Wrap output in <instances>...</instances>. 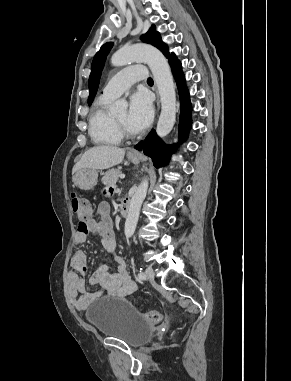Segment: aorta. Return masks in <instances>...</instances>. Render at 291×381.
Wrapping results in <instances>:
<instances>
[{"label": "aorta", "instance_id": "762f6f07", "mask_svg": "<svg viewBox=\"0 0 291 381\" xmlns=\"http://www.w3.org/2000/svg\"><path fill=\"white\" fill-rule=\"evenodd\" d=\"M135 61L146 62L154 76L161 100V113L156 132L158 136L163 138L170 133L176 119V93L170 67L163 54L151 45L136 44L124 46L111 57V63L114 66H124ZM126 107V102L117 101L113 111L125 110ZM147 189L148 181L144 180L138 186L136 193L130 201L124 228L127 238L131 237L135 232L140 208L146 197Z\"/></svg>", "mask_w": 291, "mask_h": 381}]
</instances>
